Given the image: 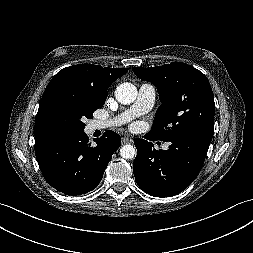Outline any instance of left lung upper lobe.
Listing matches in <instances>:
<instances>
[{"instance_id":"5c2ea615","label":"left lung upper lobe","mask_w":253,"mask_h":253,"mask_svg":"<svg viewBox=\"0 0 253 253\" xmlns=\"http://www.w3.org/2000/svg\"><path fill=\"white\" fill-rule=\"evenodd\" d=\"M142 80L157 87L161 105L149 135L160 141L190 134L213 136L215 103L206 76L180 62L152 68L134 67Z\"/></svg>"}]
</instances>
